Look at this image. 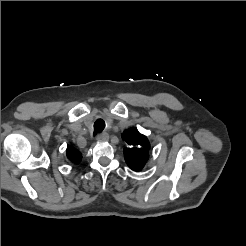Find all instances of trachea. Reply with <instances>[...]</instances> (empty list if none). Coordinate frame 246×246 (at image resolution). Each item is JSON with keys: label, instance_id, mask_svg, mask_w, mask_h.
<instances>
[{"label": "trachea", "instance_id": "3493384b", "mask_svg": "<svg viewBox=\"0 0 246 246\" xmlns=\"http://www.w3.org/2000/svg\"><path fill=\"white\" fill-rule=\"evenodd\" d=\"M104 128H105V122L102 119H98L94 123V135H96V133L102 132Z\"/></svg>", "mask_w": 246, "mask_h": 246}]
</instances>
